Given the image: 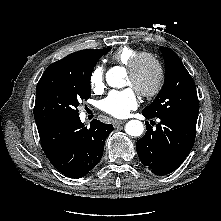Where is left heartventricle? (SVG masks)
Returning <instances> with one entry per match:
<instances>
[{
  "label": "left heart ventricle",
  "mask_w": 221,
  "mask_h": 221,
  "mask_svg": "<svg viewBox=\"0 0 221 221\" xmlns=\"http://www.w3.org/2000/svg\"><path fill=\"white\" fill-rule=\"evenodd\" d=\"M156 78L157 72L155 66L150 61L144 60L133 76L127 74L126 85L131 86L136 91H145L153 87Z\"/></svg>",
  "instance_id": "b2bd125f"
}]
</instances>
